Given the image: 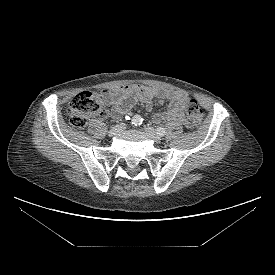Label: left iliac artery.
<instances>
[{
    "instance_id": "44dca946",
    "label": "left iliac artery",
    "mask_w": 275,
    "mask_h": 275,
    "mask_svg": "<svg viewBox=\"0 0 275 275\" xmlns=\"http://www.w3.org/2000/svg\"><path fill=\"white\" fill-rule=\"evenodd\" d=\"M156 131H157V134H159L160 136H164L166 133L165 129L162 127H158Z\"/></svg>"
}]
</instances>
